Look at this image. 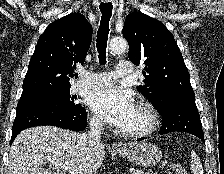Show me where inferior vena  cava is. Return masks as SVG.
Returning <instances> with one entry per match:
<instances>
[{
  "mask_svg": "<svg viewBox=\"0 0 224 174\" xmlns=\"http://www.w3.org/2000/svg\"><path fill=\"white\" fill-rule=\"evenodd\" d=\"M90 129L87 133L81 135V139L86 143L88 148H96L102 146L101 134L103 131V123L99 119H91L89 122Z\"/></svg>",
  "mask_w": 224,
  "mask_h": 174,
  "instance_id": "602c4592",
  "label": "inferior vena cava"
}]
</instances>
